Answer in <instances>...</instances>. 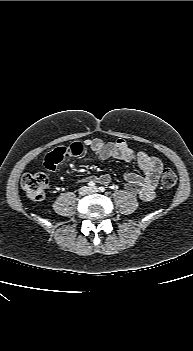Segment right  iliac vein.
<instances>
[{"label": "right iliac vein", "instance_id": "obj_1", "mask_svg": "<svg viewBox=\"0 0 193 351\" xmlns=\"http://www.w3.org/2000/svg\"><path fill=\"white\" fill-rule=\"evenodd\" d=\"M89 192H90V189H89L88 187H86V186L81 187L80 190H79V194H80L81 196H85V195H87Z\"/></svg>", "mask_w": 193, "mask_h": 351}]
</instances>
